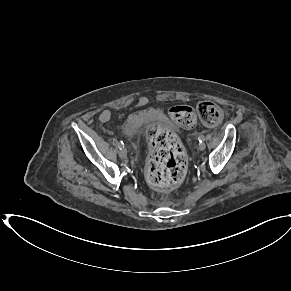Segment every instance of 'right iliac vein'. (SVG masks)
<instances>
[{
  "label": "right iliac vein",
  "mask_w": 291,
  "mask_h": 291,
  "mask_svg": "<svg viewBox=\"0 0 291 291\" xmlns=\"http://www.w3.org/2000/svg\"><path fill=\"white\" fill-rule=\"evenodd\" d=\"M119 156L121 159H126L127 158V150L124 147H121L119 150Z\"/></svg>",
  "instance_id": "obj_1"
}]
</instances>
